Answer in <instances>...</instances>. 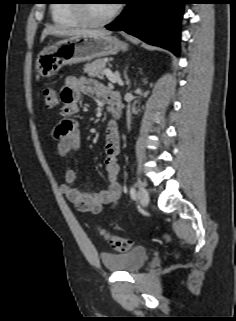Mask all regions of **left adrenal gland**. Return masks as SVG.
<instances>
[{
	"label": "left adrenal gland",
	"mask_w": 236,
	"mask_h": 321,
	"mask_svg": "<svg viewBox=\"0 0 236 321\" xmlns=\"http://www.w3.org/2000/svg\"><path fill=\"white\" fill-rule=\"evenodd\" d=\"M127 69V68H126ZM127 71H125L124 75H125V80H126V83L128 84V89L130 88V81L127 77V74H126Z\"/></svg>",
	"instance_id": "obj_1"
}]
</instances>
